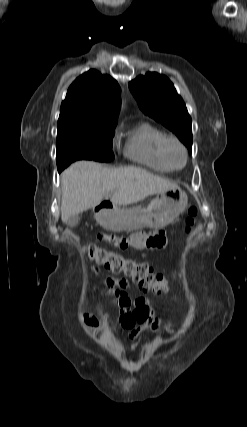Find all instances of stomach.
I'll return each instance as SVG.
<instances>
[{
	"mask_svg": "<svg viewBox=\"0 0 247 427\" xmlns=\"http://www.w3.org/2000/svg\"><path fill=\"white\" fill-rule=\"evenodd\" d=\"M188 204L186 193L179 187L158 193L147 209L128 212L114 207L95 213V219L112 231H136L143 228L160 229L174 222Z\"/></svg>",
	"mask_w": 247,
	"mask_h": 427,
	"instance_id": "stomach-1",
	"label": "stomach"
}]
</instances>
